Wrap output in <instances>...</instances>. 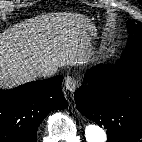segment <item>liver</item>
Returning <instances> with one entry per match:
<instances>
[{
	"instance_id": "obj_1",
	"label": "liver",
	"mask_w": 142,
	"mask_h": 142,
	"mask_svg": "<svg viewBox=\"0 0 142 142\" xmlns=\"http://www.w3.org/2000/svg\"><path fill=\"white\" fill-rule=\"evenodd\" d=\"M89 19L77 13H56L25 20L0 34V87H14L37 78L42 65L76 64L88 41Z\"/></svg>"
}]
</instances>
